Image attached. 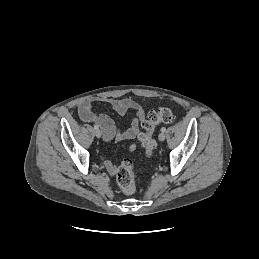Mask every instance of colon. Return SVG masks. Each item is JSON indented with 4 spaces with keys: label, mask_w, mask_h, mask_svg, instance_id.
Returning <instances> with one entry per match:
<instances>
[{
    "label": "colon",
    "mask_w": 259,
    "mask_h": 259,
    "mask_svg": "<svg viewBox=\"0 0 259 259\" xmlns=\"http://www.w3.org/2000/svg\"><path fill=\"white\" fill-rule=\"evenodd\" d=\"M175 120V114L170 108L162 107L151 111L142 122L143 131L138 138L148 157H152L157 143L153 138V132L160 123H171ZM116 182L123 193L130 195L135 192V170L131 160L125 159L116 167Z\"/></svg>",
    "instance_id": "1"
}]
</instances>
